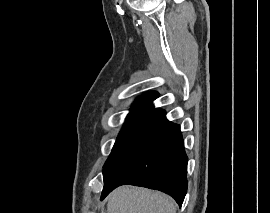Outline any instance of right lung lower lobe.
Here are the masks:
<instances>
[{
	"label": "right lung lower lobe",
	"mask_w": 270,
	"mask_h": 213,
	"mask_svg": "<svg viewBox=\"0 0 270 213\" xmlns=\"http://www.w3.org/2000/svg\"><path fill=\"white\" fill-rule=\"evenodd\" d=\"M187 155L180 126L154 109L103 170L101 200L120 185L160 190L181 206L187 192Z\"/></svg>",
	"instance_id": "1"
}]
</instances>
